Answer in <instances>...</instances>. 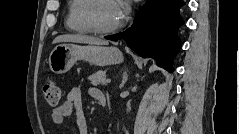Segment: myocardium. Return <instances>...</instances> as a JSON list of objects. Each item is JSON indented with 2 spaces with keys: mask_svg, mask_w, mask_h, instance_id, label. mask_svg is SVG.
I'll list each match as a JSON object with an SVG mask.
<instances>
[{
  "mask_svg": "<svg viewBox=\"0 0 239 134\" xmlns=\"http://www.w3.org/2000/svg\"><path fill=\"white\" fill-rule=\"evenodd\" d=\"M101 1H103V0H89L88 1V4L84 11L85 23L87 24L89 29L94 33H97V34L112 33L121 27V23L119 22L118 24H116L112 27H108V28H103L97 24L96 19H95V10H96L98 3Z\"/></svg>",
  "mask_w": 239,
  "mask_h": 134,
  "instance_id": "f54148a6",
  "label": "myocardium"
}]
</instances>
